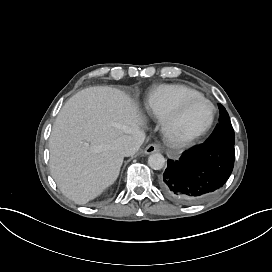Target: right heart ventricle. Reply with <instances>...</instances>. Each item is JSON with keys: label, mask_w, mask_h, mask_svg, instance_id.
Here are the masks:
<instances>
[{"label": "right heart ventricle", "mask_w": 272, "mask_h": 272, "mask_svg": "<svg viewBox=\"0 0 272 272\" xmlns=\"http://www.w3.org/2000/svg\"><path fill=\"white\" fill-rule=\"evenodd\" d=\"M196 94H199L197 90L186 86L161 85L150 94L146 108L148 112L158 116L168 115L183 98Z\"/></svg>", "instance_id": "obj_1"}]
</instances>
